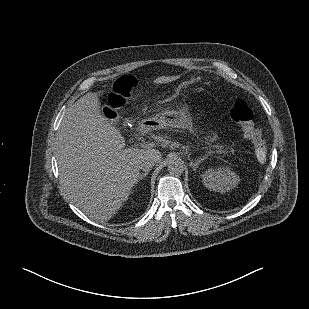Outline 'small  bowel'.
Wrapping results in <instances>:
<instances>
[{"instance_id": "1", "label": "small bowel", "mask_w": 309, "mask_h": 309, "mask_svg": "<svg viewBox=\"0 0 309 309\" xmlns=\"http://www.w3.org/2000/svg\"><path fill=\"white\" fill-rule=\"evenodd\" d=\"M210 139H211V140H214V137H211Z\"/></svg>"}]
</instances>
